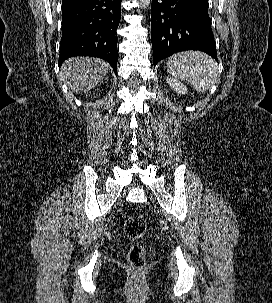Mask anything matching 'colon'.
<instances>
[{
  "mask_svg": "<svg viewBox=\"0 0 272 303\" xmlns=\"http://www.w3.org/2000/svg\"><path fill=\"white\" fill-rule=\"evenodd\" d=\"M147 229L146 220L138 215L129 216L124 223V231L129 238L140 239ZM128 262L133 270L140 271L146 264V249L141 244H134L128 252Z\"/></svg>",
  "mask_w": 272,
  "mask_h": 303,
  "instance_id": "1",
  "label": "colon"
}]
</instances>
